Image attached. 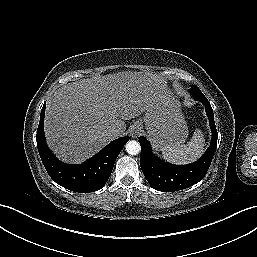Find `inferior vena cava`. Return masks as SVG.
I'll return each instance as SVG.
<instances>
[{
  "label": "inferior vena cava",
  "mask_w": 257,
  "mask_h": 257,
  "mask_svg": "<svg viewBox=\"0 0 257 257\" xmlns=\"http://www.w3.org/2000/svg\"><path fill=\"white\" fill-rule=\"evenodd\" d=\"M106 136L110 139H114L118 136L117 132L115 130H109L107 133H106Z\"/></svg>",
  "instance_id": "inferior-vena-cava-1"
}]
</instances>
